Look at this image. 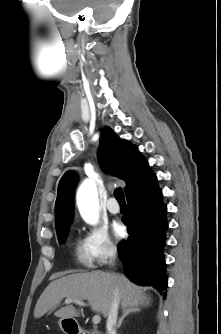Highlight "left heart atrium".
<instances>
[{
	"mask_svg": "<svg viewBox=\"0 0 221 334\" xmlns=\"http://www.w3.org/2000/svg\"><path fill=\"white\" fill-rule=\"evenodd\" d=\"M112 230L116 238H121L124 235V227L120 223H115Z\"/></svg>",
	"mask_w": 221,
	"mask_h": 334,
	"instance_id": "39dd6f15",
	"label": "left heart atrium"
}]
</instances>
